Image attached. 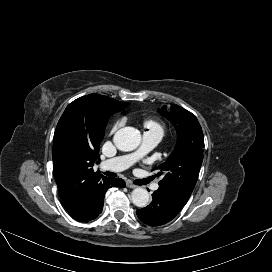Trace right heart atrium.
<instances>
[{"label": "right heart atrium", "instance_id": "d8ad5b80", "mask_svg": "<svg viewBox=\"0 0 272 272\" xmlns=\"http://www.w3.org/2000/svg\"><path fill=\"white\" fill-rule=\"evenodd\" d=\"M120 125V121L116 122L114 129Z\"/></svg>", "mask_w": 272, "mask_h": 272}]
</instances>
